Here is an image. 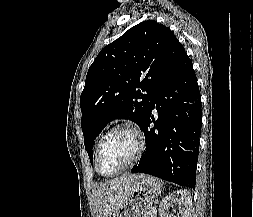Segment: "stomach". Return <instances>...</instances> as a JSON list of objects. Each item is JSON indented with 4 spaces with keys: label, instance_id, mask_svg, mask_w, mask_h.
<instances>
[{
    "label": "stomach",
    "instance_id": "0dacf381",
    "mask_svg": "<svg viewBox=\"0 0 253 217\" xmlns=\"http://www.w3.org/2000/svg\"><path fill=\"white\" fill-rule=\"evenodd\" d=\"M160 193V182L153 177L142 175L133 184V190L117 217H143Z\"/></svg>",
    "mask_w": 253,
    "mask_h": 217
}]
</instances>
